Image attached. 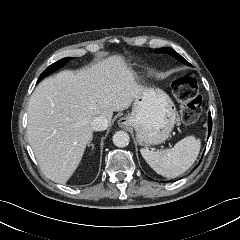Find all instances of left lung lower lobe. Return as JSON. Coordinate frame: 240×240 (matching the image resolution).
I'll use <instances>...</instances> for the list:
<instances>
[{"mask_svg":"<svg viewBox=\"0 0 240 240\" xmlns=\"http://www.w3.org/2000/svg\"><path fill=\"white\" fill-rule=\"evenodd\" d=\"M208 128H209V134H208V137L211 133V129H212V119H211V114L209 113L208 115Z\"/></svg>","mask_w":240,"mask_h":240,"instance_id":"0a47b994","label":"left lung lower lobe"}]
</instances>
